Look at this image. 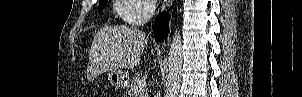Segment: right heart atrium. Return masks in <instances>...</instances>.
Returning a JSON list of instances; mask_svg holds the SVG:
<instances>
[{
	"label": "right heart atrium",
	"instance_id": "d8ad5b80",
	"mask_svg": "<svg viewBox=\"0 0 302 97\" xmlns=\"http://www.w3.org/2000/svg\"><path fill=\"white\" fill-rule=\"evenodd\" d=\"M134 4V10L129 22L135 25H142L153 15V4L147 0H130Z\"/></svg>",
	"mask_w": 302,
	"mask_h": 97
}]
</instances>
